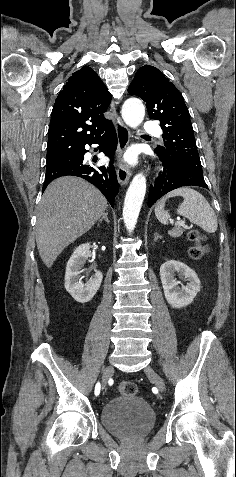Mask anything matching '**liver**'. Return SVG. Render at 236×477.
<instances>
[{
    "mask_svg": "<svg viewBox=\"0 0 236 477\" xmlns=\"http://www.w3.org/2000/svg\"><path fill=\"white\" fill-rule=\"evenodd\" d=\"M107 208L103 194L85 180L65 176L52 181L37 208L36 243L50 268L59 254L88 232Z\"/></svg>",
    "mask_w": 236,
    "mask_h": 477,
    "instance_id": "obj_1",
    "label": "liver"
}]
</instances>
